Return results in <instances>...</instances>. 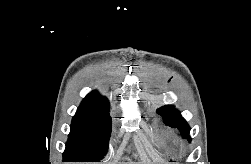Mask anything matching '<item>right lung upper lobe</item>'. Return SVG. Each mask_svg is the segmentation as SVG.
Segmentation results:
<instances>
[{"label": "right lung upper lobe", "mask_w": 251, "mask_h": 164, "mask_svg": "<svg viewBox=\"0 0 251 164\" xmlns=\"http://www.w3.org/2000/svg\"><path fill=\"white\" fill-rule=\"evenodd\" d=\"M81 105L99 108H110L109 101L107 100V98L101 96L97 91L89 93L83 99Z\"/></svg>", "instance_id": "obj_1"}]
</instances>
